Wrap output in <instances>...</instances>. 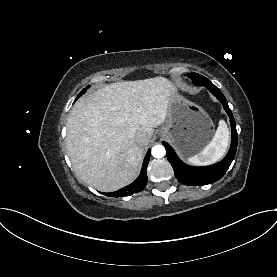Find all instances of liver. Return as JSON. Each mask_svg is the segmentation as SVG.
Masks as SVG:
<instances>
[{"label":"liver","instance_id":"6515ba94","mask_svg":"<svg viewBox=\"0 0 277 277\" xmlns=\"http://www.w3.org/2000/svg\"><path fill=\"white\" fill-rule=\"evenodd\" d=\"M175 92V86L159 76L113 83L81 97L67 120L66 146L76 174L103 192L130 184ZM138 132L146 133V144L135 141Z\"/></svg>","mask_w":277,"mask_h":277}]
</instances>
